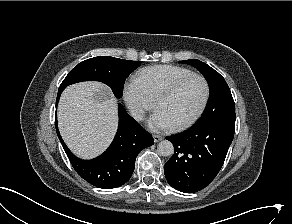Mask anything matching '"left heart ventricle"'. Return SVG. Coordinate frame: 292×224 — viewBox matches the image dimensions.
Listing matches in <instances>:
<instances>
[{
  "label": "left heart ventricle",
  "mask_w": 292,
  "mask_h": 224,
  "mask_svg": "<svg viewBox=\"0 0 292 224\" xmlns=\"http://www.w3.org/2000/svg\"><path fill=\"white\" fill-rule=\"evenodd\" d=\"M204 92L203 83L193 79L172 97L163 100L157 109L164 113L172 126L181 124L197 112L203 101Z\"/></svg>",
  "instance_id": "1"
}]
</instances>
